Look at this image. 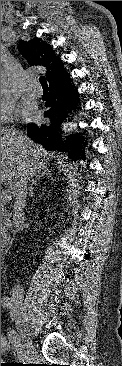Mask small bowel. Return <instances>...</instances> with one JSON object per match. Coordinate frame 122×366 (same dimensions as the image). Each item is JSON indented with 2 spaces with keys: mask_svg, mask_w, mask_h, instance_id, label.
Masks as SVG:
<instances>
[{
  "mask_svg": "<svg viewBox=\"0 0 122 366\" xmlns=\"http://www.w3.org/2000/svg\"><path fill=\"white\" fill-rule=\"evenodd\" d=\"M5 347H6V343L1 341V352L4 351Z\"/></svg>",
  "mask_w": 122,
  "mask_h": 366,
  "instance_id": "c3829d8e",
  "label": "small bowel"
}]
</instances>
